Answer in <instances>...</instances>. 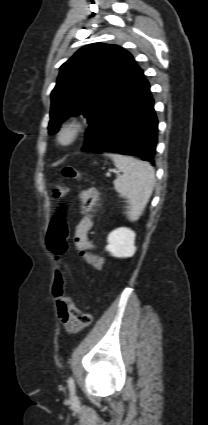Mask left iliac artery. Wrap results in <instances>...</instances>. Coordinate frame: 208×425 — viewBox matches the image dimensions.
Here are the masks:
<instances>
[{"label":"left iliac artery","instance_id":"44dca946","mask_svg":"<svg viewBox=\"0 0 208 425\" xmlns=\"http://www.w3.org/2000/svg\"><path fill=\"white\" fill-rule=\"evenodd\" d=\"M68 387H69L71 394L73 395L75 393V383H74V379L72 377L68 378Z\"/></svg>","mask_w":208,"mask_h":425}]
</instances>
